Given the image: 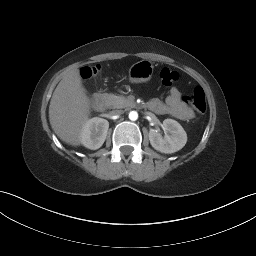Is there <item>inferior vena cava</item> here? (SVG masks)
Instances as JSON below:
<instances>
[{
    "instance_id": "obj_1",
    "label": "inferior vena cava",
    "mask_w": 256,
    "mask_h": 256,
    "mask_svg": "<svg viewBox=\"0 0 256 256\" xmlns=\"http://www.w3.org/2000/svg\"><path fill=\"white\" fill-rule=\"evenodd\" d=\"M122 113H123L122 110H113V111H111V114H112V115H120V114H122Z\"/></svg>"
}]
</instances>
